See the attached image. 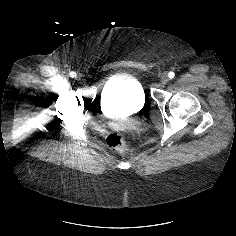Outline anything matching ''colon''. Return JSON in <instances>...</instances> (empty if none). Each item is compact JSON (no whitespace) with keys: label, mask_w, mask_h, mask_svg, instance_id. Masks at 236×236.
I'll use <instances>...</instances> for the list:
<instances>
[{"label":"colon","mask_w":236,"mask_h":236,"mask_svg":"<svg viewBox=\"0 0 236 236\" xmlns=\"http://www.w3.org/2000/svg\"><path fill=\"white\" fill-rule=\"evenodd\" d=\"M105 142L109 148L117 153H125L127 151V143L123 134L112 132L107 135Z\"/></svg>","instance_id":"colon-1"}]
</instances>
